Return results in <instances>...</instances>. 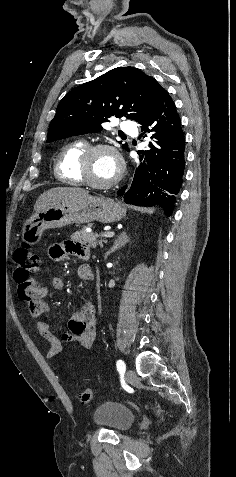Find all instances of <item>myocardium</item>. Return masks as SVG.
I'll list each match as a JSON object with an SVG mask.
<instances>
[{"mask_svg": "<svg viewBox=\"0 0 236 477\" xmlns=\"http://www.w3.org/2000/svg\"><path fill=\"white\" fill-rule=\"evenodd\" d=\"M107 150L110 151L117 160L118 172L116 176L107 182H95L89 176V161L91 157L98 151ZM124 173V161L119 151L112 145L106 143H98L87 146L79 157L78 161V174L82 182L88 186L96 189H106L117 184L122 178Z\"/></svg>", "mask_w": 236, "mask_h": 477, "instance_id": "f54148a6", "label": "myocardium"}]
</instances>
